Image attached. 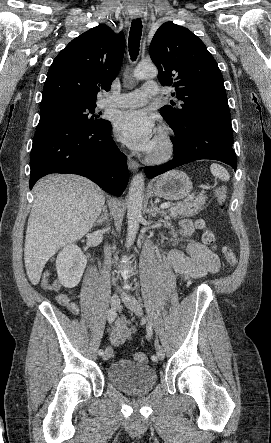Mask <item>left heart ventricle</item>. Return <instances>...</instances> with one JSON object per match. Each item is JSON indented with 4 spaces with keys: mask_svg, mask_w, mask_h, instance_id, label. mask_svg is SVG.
I'll return each instance as SVG.
<instances>
[{
    "mask_svg": "<svg viewBox=\"0 0 271 443\" xmlns=\"http://www.w3.org/2000/svg\"><path fill=\"white\" fill-rule=\"evenodd\" d=\"M159 145H160L159 141H158L157 137H155V140H154V143H153L151 151L157 150L159 148Z\"/></svg>",
    "mask_w": 271,
    "mask_h": 443,
    "instance_id": "left-heart-ventricle-1",
    "label": "left heart ventricle"
}]
</instances>
